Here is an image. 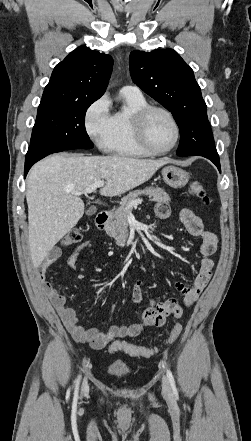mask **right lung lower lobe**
Instances as JSON below:
<instances>
[{"label":"right lung lower lobe","instance_id":"right-lung-lower-lobe-1","mask_svg":"<svg viewBox=\"0 0 251 441\" xmlns=\"http://www.w3.org/2000/svg\"><path fill=\"white\" fill-rule=\"evenodd\" d=\"M62 151L64 150L46 146H30L25 157L24 177H26L29 169L34 163L46 157L47 155Z\"/></svg>","mask_w":251,"mask_h":441}]
</instances>
